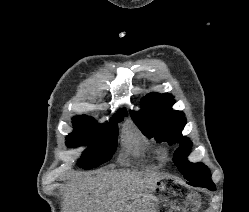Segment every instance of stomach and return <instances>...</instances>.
<instances>
[{
	"mask_svg": "<svg viewBox=\"0 0 249 212\" xmlns=\"http://www.w3.org/2000/svg\"><path fill=\"white\" fill-rule=\"evenodd\" d=\"M155 206L158 212H195L201 206L199 194L185 188L182 182L173 178H162L155 186Z\"/></svg>",
	"mask_w": 249,
	"mask_h": 212,
	"instance_id": "1",
	"label": "stomach"
}]
</instances>
